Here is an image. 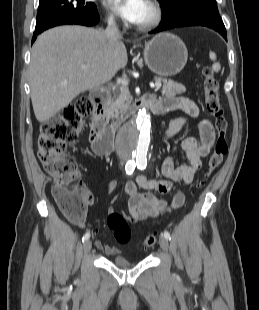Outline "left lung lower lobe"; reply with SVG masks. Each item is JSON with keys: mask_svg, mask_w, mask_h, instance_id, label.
<instances>
[{"mask_svg": "<svg viewBox=\"0 0 259 310\" xmlns=\"http://www.w3.org/2000/svg\"><path fill=\"white\" fill-rule=\"evenodd\" d=\"M184 26H206L221 34L224 39L227 40V32L224 26V23L221 18H211L205 16H192L174 23L163 25L151 31L150 33H156L163 30L175 28V27H184Z\"/></svg>", "mask_w": 259, "mask_h": 310, "instance_id": "0a47b994", "label": "left lung lower lobe"}]
</instances>
